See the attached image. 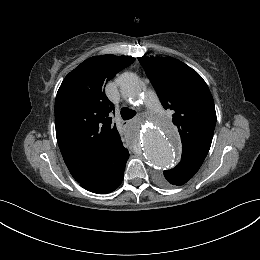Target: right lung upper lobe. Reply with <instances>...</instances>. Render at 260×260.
I'll list each match as a JSON object with an SVG mask.
<instances>
[{
	"instance_id": "cb5924a9",
	"label": "right lung upper lobe",
	"mask_w": 260,
	"mask_h": 260,
	"mask_svg": "<svg viewBox=\"0 0 260 260\" xmlns=\"http://www.w3.org/2000/svg\"><path fill=\"white\" fill-rule=\"evenodd\" d=\"M134 61L109 54L91 57L65 77L57 92L56 137L65 164L79 183L111 168L128 153L112 124L114 106L104 87Z\"/></svg>"
}]
</instances>
